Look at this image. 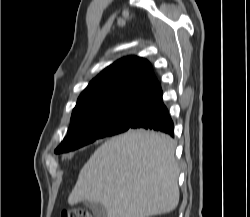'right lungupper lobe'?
<instances>
[{
  "label": "right lung upper lobe",
  "instance_id": "right-lung-upper-lobe-1",
  "mask_svg": "<svg viewBox=\"0 0 250 217\" xmlns=\"http://www.w3.org/2000/svg\"><path fill=\"white\" fill-rule=\"evenodd\" d=\"M161 90L150 63L137 56L122 58L95 77L77 100L71 119L123 105L141 104Z\"/></svg>",
  "mask_w": 250,
  "mask_h": 217
}]
</instances>
